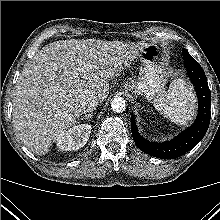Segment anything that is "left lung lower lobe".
I'll list each match as a JSON object with an SVG mask.
<instances>
[{
  "label": "left lung lower lobe",
  "instance_id": "obj_1",
  "mask_svg": "<svg viewBox=\"0 0 220 220\" xmlns=\"http://www.w3.org/2000/svg\"><path fill=\"white\" fill-rule=\"evenodd\" d=\"M183 58L188 75L195 86L199 110L194 124L171 141L155 143L145 140L138 133L135 119L131 117L132 137L143 152L163 159H173L184 155L194 148L205 136L210 123L211 94L206 75L199 63L183 49Z\"/></svg>",
  "mask_w": 220,
  "mask_h": 220
}]
</instances>
